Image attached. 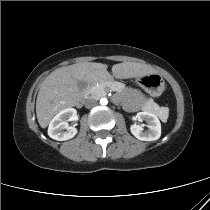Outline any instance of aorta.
Instances as JSON below:
<instances>
[{"mask_svg": "<svg viewBox=\"0 0 210 210\" xmlns=\"http://www.w3.org/2000/svg\"><path fill=\"white\" fill-rule=\"evenodd\" d=\"M100 103H101L102 105H106V104L108 103V101H107L106 98H102V99L100 100Z\"/></svg>", "mask_w": 210, "mask_h": 210, "instance_id": "aorta-1", "label": "aorta"}]
</instances>
